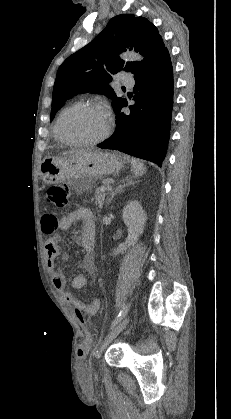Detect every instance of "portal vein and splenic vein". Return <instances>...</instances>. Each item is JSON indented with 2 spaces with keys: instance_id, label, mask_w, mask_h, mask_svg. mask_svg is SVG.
Here are the masks:
<instances>
[{
  "instance_id": "18ae733b",
  "label": "portal vein and splenic vein",
  "mask_w": 231,
  "mask_h": 419,
  "mask_svg": "<svg viewBox=\"0 0 231 419\" xmlns=\"http://www.w3.org/2000/svg\"><path fill=\"white\" fill-rule=\"evenodd\" d=\"M109 188V185H107V186H102L101 187V191H105V190H107Z\"/></svg>"
}]
</instances>
